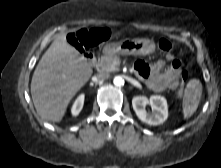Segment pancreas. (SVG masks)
<instances>
[{
	"instance_id": "obj_1",
	"label": "pancreas",
	"mask_w": 221,
	"mask_h": 168,
	"mask_svg": "<svg viewBox=\"0 0 221 168\" xmlns=\"http://www.w3.org/2000/svg\"><path fill=\"white\" fill-rule=\"evenodd\" d=\"M120 65V58L115 55H104L101 58H99L97 63V69L99 71L104 72H112V71H118Z\"/></svg>"
}]
</instances>
